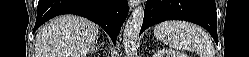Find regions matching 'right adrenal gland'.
<instances>
[{"mask_svg":"<svg viewBox=\"0 0 249 57\" xmlns=\"http://www.w3.org/2000/svg\"><path fill=\"white\" fill-rule=\"evenodd\" d=\"M96 45H97V46L99 47V49H100V47H101L100 41H97V42H96ZM93 51L96 52V51H97V47H94V48H93Z\"/></svg>","mask_w":249,"mask_h":57,"instance_id":"1","label":"right adrenal gland"}]
</instances>
